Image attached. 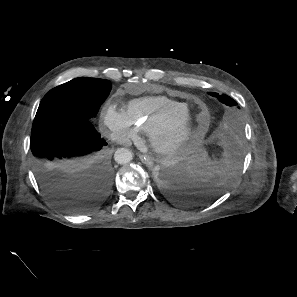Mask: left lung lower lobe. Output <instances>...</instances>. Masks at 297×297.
Masks as SVG:
<instances>
[{
  "instance_id": "left-lung-lower-lobe-1",
  "label": "left lung lower lobe",
  "mask_w": 297,
  "mask_h": 297,
  "mask_svg": "<svg viewBox=\"0 0 297 297\" xmlns=\"http://www.w3.org/2000/svg\"><path fill=\"white\" fill-rule=\"evenodd\" d=\"M157 180L168 198L185 205L210 202L229 186L228 180L211 171L199 172L188 157L172 161L161 168Z\"/></svg>"
}]
</instances>
